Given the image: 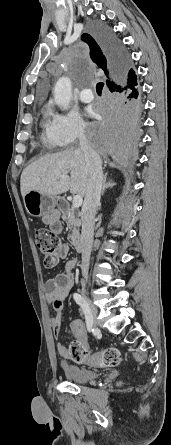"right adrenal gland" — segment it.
Here are the masks:
<instances>
[{
	"label": "right adrenal gland",
	"instance_id": "obj_1",
	"mask_svg": "<svg viewBox=\"0 0 171 445\" xmlns=\"http://www.w3.org/2000/svg\"><path fill=\"white\" fill-rule=\"evenodd\" d=\"M115 185H116V183L113 182L112 180L107 181V174H105L104 178H103V187H102L101 194L104 195V192L106 189L113 188Z\"/></svg>",
	"mask_w": 171,
	"mask_h": 445
}]
</instances>
